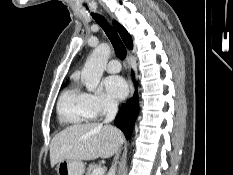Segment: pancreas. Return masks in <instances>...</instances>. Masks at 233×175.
I'll use <instances>...</instances> for the list:
<instances>
[{
	"instance_id": "1",
	"label": "pancreas",
	"mask_w": 233,
	"mask_h": 175,
	"mask_svg": "<svg viewBox=\"0 0 233 175\" xmlns=\"http://www.w3.org/2000/svg\"><path fill=\"white\" fill-rule=\"evenodd\" d=\"M98 168L96 164H90L87 168L86 175H93V171Z\"/></svg>"
}]
</instances>
